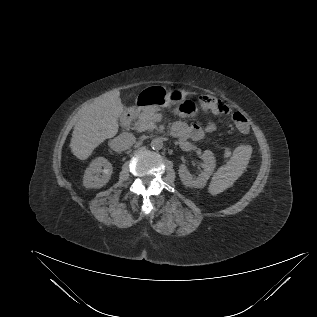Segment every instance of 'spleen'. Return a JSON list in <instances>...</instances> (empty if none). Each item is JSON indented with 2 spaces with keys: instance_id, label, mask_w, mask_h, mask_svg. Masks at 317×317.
Masks as SVG:
<instances>
[{
  "instance_id": "1",
  "label": "spleen",
  "mask_w": 317,
  "mask_h": 317,
  "mask_svg": "<svg viewBox=\"0 0 317 317\" xmlns=\"http://www.w3.org/2000/svg\"><path fill=\"white\" fill-rule=\"evenodd\" d=\"M251 153L252 148L250 146L241 145L237 147L230 160L214 174L208 188L209 193L217 195L232 186L245 170Z\"/></svg>"
}]
</instances>
